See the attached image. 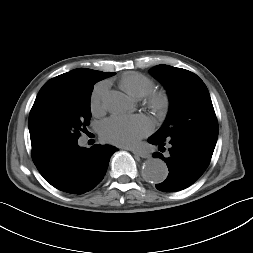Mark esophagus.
Listing matches in <instances>:
<instances>
[{"instance_id":"1","label":"esophagus","mask_w":253,"mask_h":253,"mask_svg":"<svg viewBox=\"0 0 253 253\" xmlns=\"http://www.w3.org/2000/svg\"><path fill=\"white\" fill-rule=\"evenodd\" d=\"M132 153L136 156H139L141 158H148L149 157V153L146 151H142V150H137V149H133L131 150Z\"/></svg>"}]
</instances>
